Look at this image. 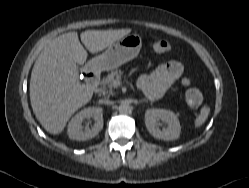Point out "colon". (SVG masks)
<instances>
[{
	"mask_svg": "<svg viewBox=\"0 0 249 188\" xmlns=\"http://www.w3.org/2000/svg\"><path fill=\"white\" fill-rule=\"evenodd\" d=\"M149 47L155 52H166L170 48L168 41L152 39L148 42ZM187 103L192 107H198L203 103V95L198 89H189L186 93Z\"/></svg>",
	"mask_w": 249,
	"mask_h": 188,
	"instance_id": "obj_1",
	"label": "colon"
}]
</instances>
